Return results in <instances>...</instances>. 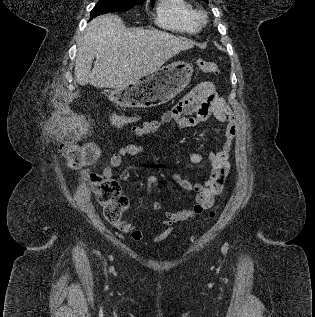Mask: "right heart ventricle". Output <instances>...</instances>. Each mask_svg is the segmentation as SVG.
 <instances>
[{
  "mask_svg": "<svg viewBox=\"0 0 315 317\" xmlns=\"http://www.w3.org/2000/svg\"><path fill=\"white\" fill-rule=\"evenodd\" d=\"M155 21L174 32L196 33L199 30L196 10L189 0H158Z\"/></svg>",
  "mask_w": 315,
  "mask_h": 317,
  "instance_id": "right-heart-ventricle-1",
  "label": "right heart ventricle"
}]
</instances>
